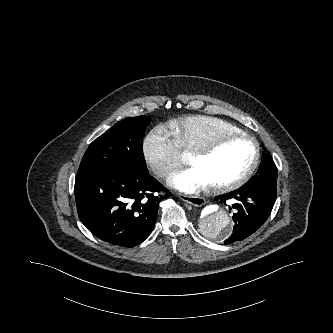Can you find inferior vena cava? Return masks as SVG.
Here are the masks:
<instances>
[{
  "mask_svg": "<svg viewBox=\"0 0 333 333\" xmlns=\"http://www.w3.org/2000/svg\"><path fill=\"white\" fill-rule=\"evenodd\" d=\"M168 174V171L167 170H163V171H161V175H167Z\"/></svg>",
  "mask_w": 333,
  "mask_h": 333,
  "instance_id": "602c4592",
  "label": "inferior vena cava"
}]
</instances>
